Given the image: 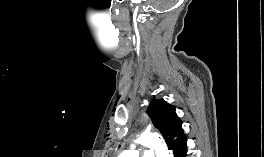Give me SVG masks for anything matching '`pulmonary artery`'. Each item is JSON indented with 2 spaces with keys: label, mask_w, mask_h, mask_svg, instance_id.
I'll list each match as a JSON object with an SVG mask.
<instances>
[{
  "label": "pulmonary artery",
  "mask_w": 264,
  "mask_h": 157,
  "mask_svg": "<svg viewBox=\"0 0 264 157\" xmlns=\"http://www.w3.org/2000/svg\"><path fill=\"white\" fill-rule=\"evenodd\" d=\"M142 157H154L153 151H151V150H144Z\"/></svg>",
  "instance_id": "obj_1"
}]
</instances>
